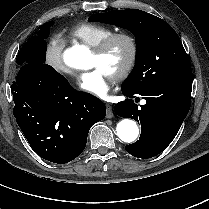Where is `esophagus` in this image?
<instances>
[{"label": "esophagus", "mask_w": 209, "mask_h": 209, "mask_svg": "<svg viewBox=\"0 0 209 209\" xmlns=\"http://www.w3.org/2000/svg\"><path fill=\"white\" fill-rule=\"evenodd\" d=\"M106 117L107 118H113L114 117L113 109H112V106L110 104H106Z\"/></svg>", "instance_id": "esophagus-1"}]
</instances>
